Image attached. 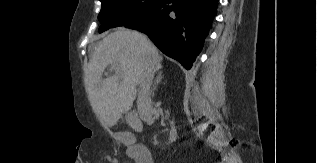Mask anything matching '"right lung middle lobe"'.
<instances>
[{"label":"right lung middle lobe","mask_w":317,"mask_h":163,"mask_svg":"<svg viewBox=\"0 0 317 163\" xmlns=\"http://www.w3.org/2000/svg\"><path fill=\"white\" fill-rule=\"evenodd\" d=\"M164 0H100V32L125 26L153 12Z\"/></svg>","instance_id":"dd1d6c3e"}]
</instances>
